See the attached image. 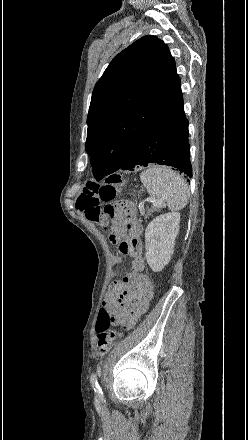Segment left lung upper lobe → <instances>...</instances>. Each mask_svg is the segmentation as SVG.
Returning <instances> with one entry per match:
<instances>
[{
  "label": "left lung upper lobe",
  "instance_id": "left-lung-upper-lobe-1",
  "mask_svg": "<svg viewBox=\"0 0 248 440\" xmlns=\"http://www.w3.org/2000/svg\"><path fill=\"white\" fill-rule=\"evenodd\" d=\"M168 46L144 36L119 53L96 83L85 149L96 180L115 172L131 146L181 100Z\"/></svg>",
  "mask_w": 248,
  "mask_h": 440
}]
</instances>
